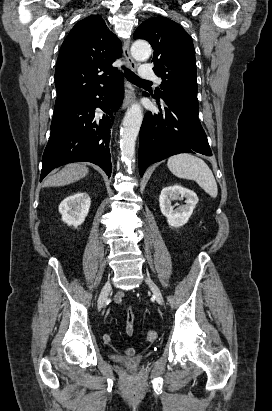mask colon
I'll return each mask as SVG.
<instances>
[{
  "label": "colon",
  "mask_w": 272,
  "mask_h": 411,
  "mask_svg": "<svg viewBox=\"0 0 272 411\" xmlns=\"http://www.w3.org/2000/svg\"><path fill=\"white\" fill-rule=\"evenodd\" d=\"M148 342H154L158 339V332L155 330H149L145 336Z\"/></svg>",
  "instance_id": "5ec220e1"
}]
</instances>
